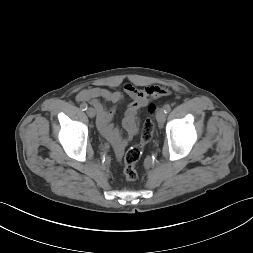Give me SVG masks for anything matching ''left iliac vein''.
Returning <instances> with one entry per match:
<instances>
[{
    "mask_svg": "<svg viewBox=\"0 0 253 253\" xmlns=\"http://www.w3.org/2000/svg\"><path fill=\"white\" fill-rule=\"evenodd\" d=\"M156 119L160 124H163L166 120V113L164 109H159L156 114Z\"/></svg>",
    "mask_w": 253,
    "mask_h": 253,
    "instance_id": "1",
    "label": "left iliac vein"
}]
</instances>
